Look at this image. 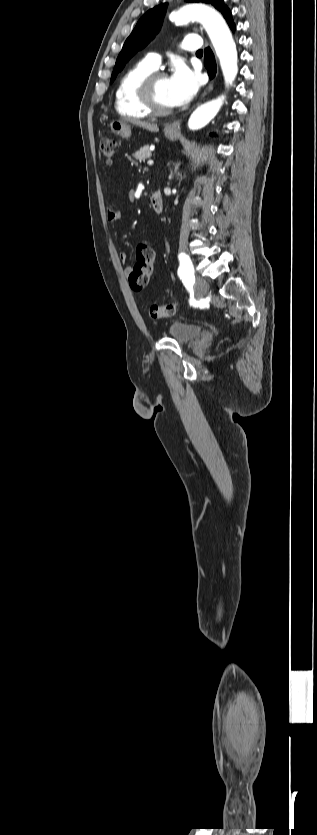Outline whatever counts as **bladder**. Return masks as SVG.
<instances>
[{"mask_svg": "<svg viewBox=\"0 0 317 835\" xmlns=\"http://www.w3.org/2000/svg\"><path fill=\"white\" fill-rule=\"evenodd\" d=\"M201 332V327L180 320L172 321L168 326L169 336L179 343H188Z\"/></svg>", "mask_w": 317, "mask_h": 835, "instance_id": "1", "label": "bladder"}]
</instances>
